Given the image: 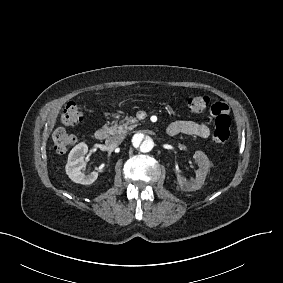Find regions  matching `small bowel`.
Listing matches in <instances>:
<instances>
[{"mask_svg": "<svg viewBox=\"0 0 283 283\" xmlns=\"http://www.w3.org/2000/svg\"><path fill=\"white\" fill-rule=\"evenodd\" d=\"M231 108H232L231 104L226 101L212 103L207 110L208 118L213 121L217 120L219 118V115L228 114L231 111ZM168 131L170 134L173 135L185 134L190 136H196L203 139L208 138L210 135V129L205 123L191 121V120H181L172 123L168 127Z\"/></svg>", "mask_w": 283, "mask_h": 283, "instance_id": "obj_1", "label": "small bowel"}]
</instances>
